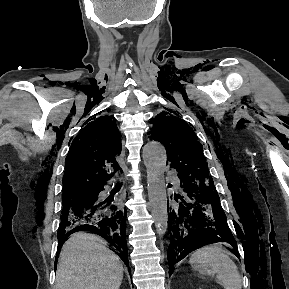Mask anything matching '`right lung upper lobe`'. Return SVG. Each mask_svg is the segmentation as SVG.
Masks as SVG:
<instances>
[{"label":"right lung upper lobe","mask_w":289,"mask_h":289,"mask_svg":"<svg viewBox=\"0 0 289 289\" xmlns=\"http://www.w3.org/2000/svg\"><path fill=\"white\" fill-rule=\"evenodd\" d=\"M120 137L115 120L109 116H101L82 129L66 157L63 196L92 191L119 170L116 156L121 153ZM109 165L114 172L107 169Z\"/></svg>","instance_id":"right-lung-upper-lobe-1"}]
</instances>
